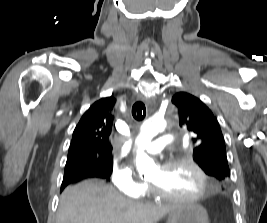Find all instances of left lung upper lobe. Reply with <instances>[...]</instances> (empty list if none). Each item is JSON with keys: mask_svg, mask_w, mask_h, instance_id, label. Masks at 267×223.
I'll list each match as a JSON object with an SVG mask.
<instances>
[{"mask_svg": "<svg viewBox=\"0 0 267 223\" xmlns=\"http://www.w3.org/2000/svg\"><path fill=\"white\" fill-rule=\"evenodd\" d=\"M178 108L179 125L193 133L194 161L219 182L230 177L224 138L210 109L198 98L179 92L172 98Z\"/></svg>", "mask_w": 267, "mask_h": 223, "instance_id": "1", "label": "left lung upper lobe"}]
</instances>
